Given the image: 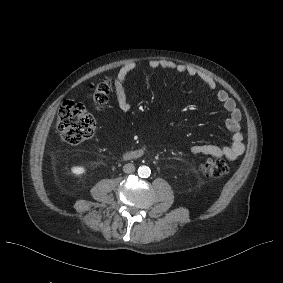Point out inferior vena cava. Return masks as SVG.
Listing matches in <instances>:
<instances>
[{
    "instance_id": "inferior-vena-cava-1",
    "label": "inferior vena cava",
    "mask_w": 283,
    "mask_h": 283,
    "mask_svg": "<svg viewBox=\"0 0 283 283\" xmlns=\"http://www.w3.org/2000/svg\"><path fill=\"white\" fill-rule=\"evenodd\" d=\"M123 171H124L125 173H132V172L135 171V166H134L133 164H130V163L125 164V165L123 166Z\"/></svg>"
}]
</instances>
